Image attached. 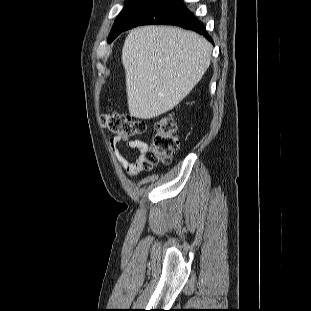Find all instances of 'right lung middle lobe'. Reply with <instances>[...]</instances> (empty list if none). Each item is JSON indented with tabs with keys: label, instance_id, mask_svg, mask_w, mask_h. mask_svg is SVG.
I'll use <instances>...</instances> for the list:
<instances>
[{
	"label": "right lung middle lobe",
	"instance_id": "right-lung-middle-lobe-1",
	"mask_svg": "<svg viewBox=\"0 0 311 311\" xmlns=\"http://www.w3.org/2000/svg\"><path fill=\"white\" fill-rule=\"evenodd\" d=\"M158 0H126L125 6L117 16L109 36V42H112L128 24L144 9L154 4Z\"/></svg>",
	"mask_w": 311,
	"mask_h": 311
}]
</instances>
